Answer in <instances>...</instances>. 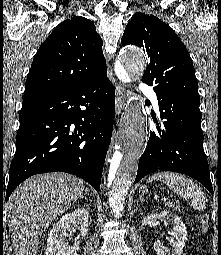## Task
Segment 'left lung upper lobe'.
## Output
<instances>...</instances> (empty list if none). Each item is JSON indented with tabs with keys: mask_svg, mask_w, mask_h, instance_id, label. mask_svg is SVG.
I'll return each instance as SVG.
<instances>
[{
	"mask_svg": "<svg viewBox=\"0 0 221 255\" xmlns=\"http://www.w3.org/2000/svg\"><path fill=\"white\" fill-rule=\"evenodd\" d=\"M123 46L137 45L147 53L149 65L142 81L158 99L176 101L198 110V82L190 55L171 27L153 15L131 17L121 39Z\"/></svg>",
	"mask_w": 221,
	"mask_h": 255,
	"instance_id": "left-lung-upper-lobe-1",
	"label": "left lung upper lobe"
}]
</instances>
